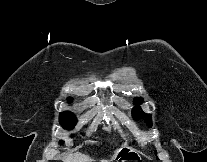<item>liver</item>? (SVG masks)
<instances>
[{
    "instance_id": "obj_1",
    "label": "liver",
    "mask_w": 207,
    "mask_h": 162,
    "mask_svg": "<svg viewBox=\"0 0 207 162\" xmlns=\"http://www.w3.org/2000/svg\"><path fill=\"white\" fill-rule=\"evenodd\" d=\"M117 151L115 152L114 156L115 157ZM64 162H95L94 159L89 157L88 155H85L80 152L72 153L69 154L65 157ZM101 162H108L107 160H102Z\"/></svg>"
}]
</instances>
